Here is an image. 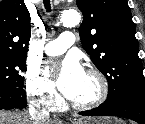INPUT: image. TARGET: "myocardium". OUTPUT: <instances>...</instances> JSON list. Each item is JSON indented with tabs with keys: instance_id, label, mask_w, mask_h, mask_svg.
<instances>
[{
	"instance_id": "f54148a6",
	"label": "myocardium",
	"mask_w": 145,
	"mask_h": 124,
	"mask_svg": "<svg viewBox=\"0 0 145 124\" xmlns=\"http://www.w3.org/2000/svg\"><path fill=\"white\" fill-rule=\"evenodd\" d=\"M85 74L93 76L98 82V95L91 101L85 103H75L71 100H67L68 105L77 111H87L94 109L105 102L109 93L108 81L105 75L97 68H89Z\"/></svg>"
}]
</instances>
